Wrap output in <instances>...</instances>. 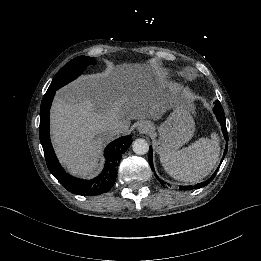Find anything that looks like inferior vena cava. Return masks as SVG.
<instances>
[{"instance_id": "602c4592", "label": "inferior vena cava", "mask_w": 261, "mask_h": 261, "mask_svg": "<svg viewBox=\"0 0 261 261\" xmlns=\"http://www.w3.org/2000/svg\"><path fill=\"white\" fill-rule=\"evenodd\" d=\"M108 130L113 135H118L126 130V125L122 121L115 120L108 126Z\"/></svg>"}]
</instances>
